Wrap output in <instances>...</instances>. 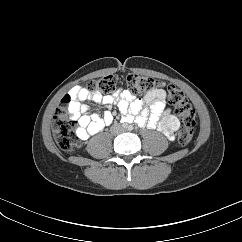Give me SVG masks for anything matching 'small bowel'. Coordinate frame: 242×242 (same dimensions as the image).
Returning a JSON list of instances; mask_svg holds the SVG:
<instances>
[{
    "mask_svg": "<svg viewBox=\"0 0 242 242\" xmlns=\"http://www.w3.org/2000/svg\"><path fill=\"white\" fill-rule=\"evenodd\" d=\"M71 96L73 99L66 104V110L69 117L77 121L76 135L81 140L99 133L113 121V113L110 111H106L103 116L91 112L89 102L103 105L115 103L123 114V120L135 121L138 125L149 128L157 127L158 120L163 117L159 129L169 140L174 139V134L179 128V121L167 107L166 92L161 87L154 88L145 96L144 101L149 105L148 110H143V100L133 98L129 92L103 96L84 87H76L72 90Z\"/></svg>",
    "mask_w": 242,
    "mask_h": 242,
    "instance_id": "small-bowel-1",
    "label": "small bowel"
}]
</instances>
